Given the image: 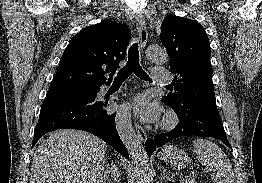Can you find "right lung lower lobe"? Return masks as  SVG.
I'll list each match as a JSON object with an SVG mask.
<instances>
[{"mask_svg":"<svg viewBox=\"0 0 262 183\" xmlns=\"http://www.w3.org/2000/svg\"><path fill=\"white\" fill-rule=\"evenodd\" d=\"M100 86L48 91L34 130L32 147L50 131L79 129L98 136L128 158V152L116 130L115 113L111 114L105 109L108 101L96 98Z\"/></svg>","mask_w":262,"mask_h":183,"instance_id":"right-lung-lower-lobe-1","label":"right lung lower lobe"}]
</instances>
